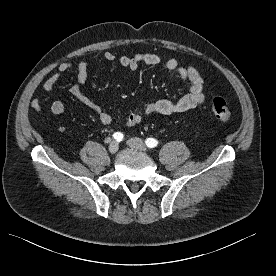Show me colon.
Returning a JSON list of instances; mask_svg holds the SVG:
<instances>
[{
    "mask_svg": "<svg viewBox=\"0 0 276 276\" xmlns=\"http://www.w3.org/2000/svg\"><path fill=\"white\" fill-rule=\"evenodd\" d=\"M211 112L217 120L222 122L229 121L232 115L230 107L221 97H215L212 99Z\"/></svg>",
    "mask_w": 276,
    "mask_h": 276,
    "instance_id": "obj_1",
    "label": "colon"
}]
</instances>
